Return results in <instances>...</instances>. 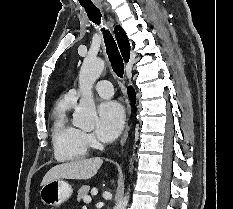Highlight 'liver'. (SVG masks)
Returning a JSON list of instances; mask_svg holds the SVG:
<instances>
[{"mask_svg": "<svg viewBox=\"0 0 233 209\" xmlns=\"http://www.w3.org/2000/svg\"><path fill=\"white\" fill-rule=\"evenodd\" d=\"M102 163L103 160L101 158H91L55 165L43 177L41 186L56 179H90L98 172Z\"/></svg>", "mask_w": 233, "mask_h": 209, "instance_id": "6515ba94", "label": "liver"}]
</instances>
